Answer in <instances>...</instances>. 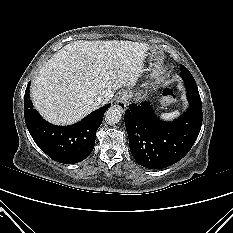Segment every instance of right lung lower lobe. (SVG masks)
<instances>
[{
  "label": "right lung lower lobe",
  "instance_id": "98d812e1",
  "mask_svg": "<svg viewBox=\"0 0 233 233\" xmlns=\"http://www.w3.org/2000/svg\"><path fill=\"white\" fill-rule=\"evenodd\" d=\"M30 82L24 95L26 126L39 148L51 159L74 164L83 161L92 152L95 134L110 104L101 107L81 121L69 126H56L44 120L33 108L29 95Z\"/></svg>",
  "mask_w": 233,
  "mask_h": 233
}]
</instances>
